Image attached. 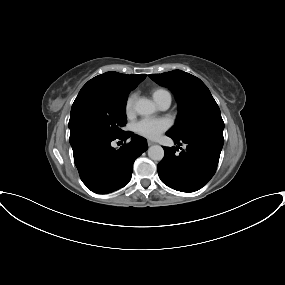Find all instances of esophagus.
<instances>
[{
	"mask_svg": "<svg viewBox=\"0 0 285 285\" xmlns=\"http://www.w3.org/2000/svg\"><path fill=\"white\" fill-rule=\"evenodd\" d=\"M147 143H148V146H152V145L155 144V143H154L153 141H151V140H148Z\"/></svg>",
	"mask_w": 285,
	"mask_h": 285,
	"instance_id": "34e87169",
	"label": "esophagus"
}]
</instances>
